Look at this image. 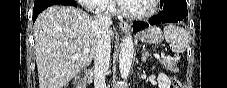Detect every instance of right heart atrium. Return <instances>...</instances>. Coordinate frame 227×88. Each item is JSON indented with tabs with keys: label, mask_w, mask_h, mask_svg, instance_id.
Segmentation results:
<instances>
[{
	"label": "right heart atrium",
	"mask_w": 227,
	"mask_h": 88,
	"mask_svg": "<svg viewBox=\"0 0 227 88\" xmlns=\"http://www.w3.org/2000/svg\"><path fill=\"white\" fill-rule=\"evenodd\" d=\"M86 10L98 15L109 14L112 10L110 0H78Z\"/></svg>",
	"instance_id": "right-heart-atrium-1"
}]
</instances>
